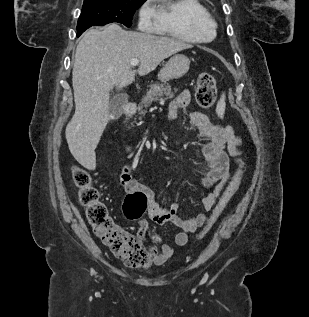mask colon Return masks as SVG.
<instances>
[{
    "mask_svg": "<svg viewBox=\"0 0 309 317\" xmlns=\"http://www.w3.org/2000/svg\"><path fill=\"white\" fill-rule=\"evenodd\" d=\"M217 95L215 78L208 73L199 76L196 86V101L202 108H210ZM243 172V166L238 167L232 180L220 197L209 224L214 221L235 193ZM73 180L79 188V200L85 208L87 219L93 227L95 234L110 247L112 252L120 258L126 266L131 268H145L150 264L153 249L147 248L142 242L143 235L139 237L124 230L109 214L106 205L100 199V193L92 184L91 175L80 167L72 169ZM147 206L144 193L128 194L124 202V212L129 219H139ZM207 229V228H206ZM205 229V230H206ZM203 231L200 236L203 235ZM156 239V237H152Z\"/></svg>",
    "mask_w": 309,
    "mask_h": 317,
    "instance_id": "colon-1",
    "label": "colon"
}]
</instances>
